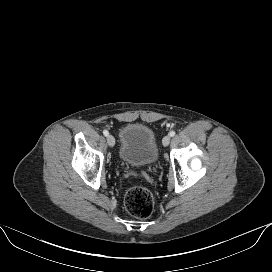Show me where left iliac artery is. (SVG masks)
Instances as JSON below:
<instances>
[{
    "mask_svg": "<svg viewBox=\"0 0 272 272\" xmlns=\"http://www.w3.org/2000/svg\"><path fill=\"white\" fill-rule=\"evenodd\" d=\"M169 135H170L171 137L175 136V131H173V130L170 131V132H169Z\"/></svg>",
    "mask_w": 272,
    "mask_h": 272,
    "instance_id": "obj_1",
    "label": "left iliac artery"
}]
</instances>
